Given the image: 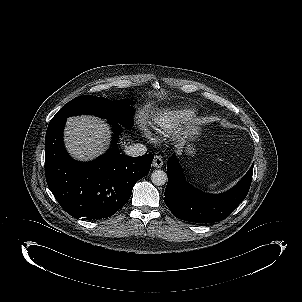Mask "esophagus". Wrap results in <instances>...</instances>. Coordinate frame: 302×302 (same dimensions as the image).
Masks as SVG:
<instances>
[{"label": "esophagus", "instance_id": "1", "mask_svg": "<svg viewBox=\"0 0 302 302\" xmlns=\"http://www.w3.org/2000/svg\"><path fill=\"white\" fill-rule=\"evenodd\" d=\"M163 158L161 156H155L154 160L152 162L153 167L155 168H161L163 166Z\"/></svg>", "mask_w": 302, "mask_h": 302}]
</instances>
